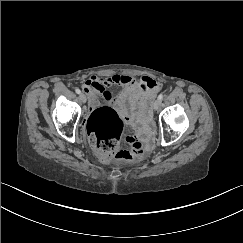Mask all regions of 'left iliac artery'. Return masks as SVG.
Wrapping results in <instances>:
<instances>
[{
	"label": "left iliac artery",
	"instance_id": "44dca946",
	"mask_svg": "<svg viewBox=\"0 0 243 243\" xmlns=\"http://www.w3.org/2000/svg\"><path fill=\"white\" fill-rule=\"evenodd\" d=\"M163 99V94H160L159 96H158V100H162Z\"/></svg>",
	"mask_w": 243,
	"mask_h": 243
}]
</instances>
